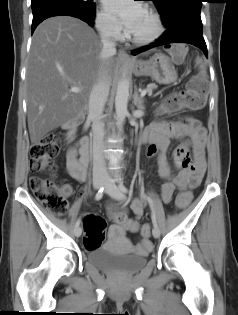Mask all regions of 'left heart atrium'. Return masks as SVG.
Wrapping results in <instances>:
<instances>
[{
    "label": "left heart atrium",
    "mask_w": 238,
    "mask_h": 315,
    "mask_svg": "<svg viewBox=\"0 0 238 315\" xmlns=\"http://www.w3.org/2000/svg\"><path fill=\"white\" fill-rule=\"evenodd\" d=\"M106 10L130 32L140 14L144 11L142 4L134 0H103Z\"/></svg>",
    "instance_id": "1"
}]
</instances>
